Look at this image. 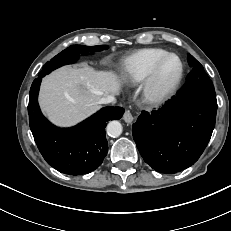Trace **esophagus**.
Returning <instances> with one entry per match:
<instances>
[{
    "label": "esophagus",
    "instance_id": "esophagus-1",
    "mask_svg": "<svg viewBox=\"0 0 231 231\" xmlns=\"http://www.w3.org/2000/svg\"><path fill=\"white\" fill-rule=\"evenodd\" d=\"M133 115L132 113L130 112V110H126L124 115H123V120L126 122V123H131L133 121Z\"/></svg>",
    "mask_w": 231,
    "mask_h": 231
}]
</instances>
